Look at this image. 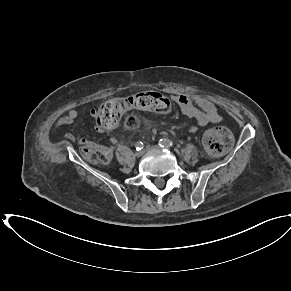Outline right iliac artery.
<instances>
[{"instance_id":"obj_1","label":"right iliac artery","mask_w":291,"mask_h":291,"mask_svg":"<svg viewBox=\"0 0 291 291\" xmlns=\"http://www.w3.org/2000/svg\"><path fill=\"white\" fill-rule=\"evenodd\" d=\"M135 147H136L137 151H140L143 149V143L141 141H139L135 144Z\"/></svg>"}]
</instances>
